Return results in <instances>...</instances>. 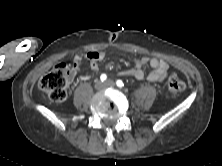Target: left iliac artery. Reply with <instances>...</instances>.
<instances>
[{"instance_id": "44dca946", "label": "left iliac artery", "mask_w": 222, "mask_h": 166, "mask_svg": "<svg viewBox=\"0 0 222 166\" xmlns=\"http://www.w3.org/2000/svg\"><path fill=\"white\" fill-rule=\"evenodd\" d=\"M116 84L118 87L122 88L124 86V83L122 82V80H117Z\"/></svg>"}]
</instances>
